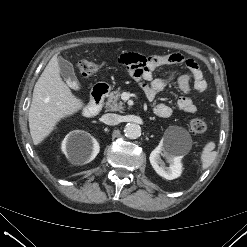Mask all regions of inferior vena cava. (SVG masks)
Instances as JSON below:
<instances>
[{
	"label": "inferior vena cava",
	"instance_id": "602c4592",
	"mask_svg": "<svg viewBox=\"0 0 247 247\" xmlns=\"http://www.w3.org/2000/svg\"><path fill=\"white\" fill-rule=\"evenodd\" d=\"M101 120L107 125H117L120 123V116L114 113H108L104 114Z\"/></svg>",
	"mask_w": 247,
	"mask_h": 247
}]
</instances>
